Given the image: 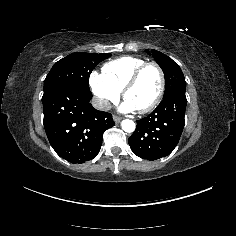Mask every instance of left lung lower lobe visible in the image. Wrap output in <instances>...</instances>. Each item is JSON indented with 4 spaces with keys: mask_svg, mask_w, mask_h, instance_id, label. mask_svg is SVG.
<instances>
[{
    "mask_svg": "<svg viewBox=\"0 0 236 236\" xmlns=\"http://www.w3.org/2000/svg\"><path fill=\"white\" fill-rule=\"evenodd\" d=\"M186 105L185 90H174L164 96L150 115L137 121L136 129L128 139L134 154L147 160L169 155L181 137Z\"/></svg>",
    "mask_w": 236,
    "mask_h": 236,
    "instance_id": "0a47b994",
    "label": "left lung lower lobe"
}]
</instances>
